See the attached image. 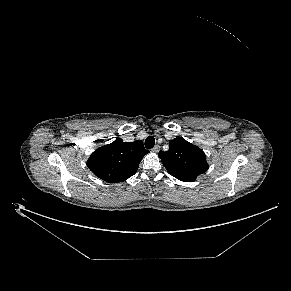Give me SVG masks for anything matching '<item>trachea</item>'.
Listing matches in <instances>:
<instances>
[{
  "label": "trachea",
  "instance_id": "obj_1",
  "mask_svg": "<svg viewBox=\"0 0 291 291\" xmlns=\"http://www.w3.org/2000/svg\"><path fill=\"white\" fill-rule=\"evenodd\" d=\"M155 145V139L152 136L147 137V139L145 140V147L147 149L152 148Z\"/></svg>",
  "mask_w": 291,
  "mask_h": 291
}]
</instances>
